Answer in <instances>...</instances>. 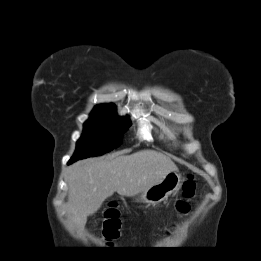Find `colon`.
Segmentation results:
<instances>
[{
	"instance_id": "colon-1",
	"label": "colon",
	"mask_w": 261,
	"mask_h": 261,
	"mask_svg": "<svg viewBox=\"0 0 261 261\" xmlns=\"http://www.w3.org/2000/svg\"><path fill=\"white\" fill-rule=\"evenodd\" d=\"M196 184L192 177H188L183 184V198L177 201L176 209L179 213H187L190 210V199L193 197ZM103 236L109 240H115L119 236L121 226L119 211L115 206H109L99 221Z\"/></svg>"
}]
</instances>
